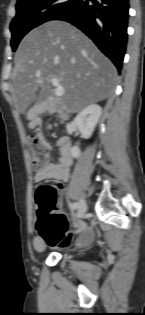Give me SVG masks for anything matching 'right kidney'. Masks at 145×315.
Instances as JSON below:
<instances>
[{"mask_svg": "<svg viewBox=\"0 0 145 315\" xmlns=\"http://www.w3.org/2000/svg\"><path fill=\"white\" fill-rule=\"evenodd\" d=\"M102 115V108L97 104H91L85 107L74 119V123L85 139L91 137L99 119ZM81 154L78 146L71 148V155L73 158H79Z\"/></svg>", "mask_w": 145, "mask_h": 315, "instance_id": "right-kidney-1", "label": "right kidney"}]
</instances>
